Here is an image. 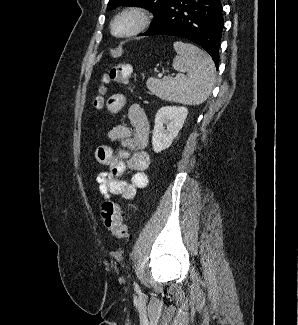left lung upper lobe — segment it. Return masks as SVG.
<instances>
[{
	"instance_id": "5c2ea615",
	"label": "left lung upper lobe",
	"mask_w": 298,
	"mask_h": 325,
	"mask_svg": "<svg viewBox=\"0 0 298 325\" xmlns=\"http://www.w3.org/2000/svg\"><path fill=\"white\" fill-rule=\"evenodd\" d=\"M170 0H109L107 9H113L120 5H144L154 12L155 17L162 11Z\"/></svg>"
}]
</instances>
